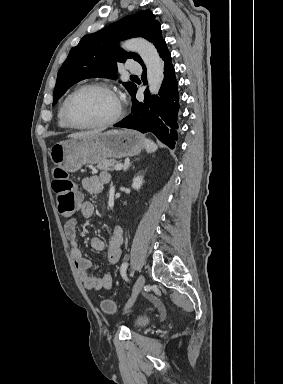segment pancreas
Instances as JSON below:
<instances>
[{"instance_id":"pancreas-1","label":"pancreas","mask_w":283,"mask_h":384,"mask_svg":"<svg viewBox=\"0 0 283 384\" xmlns=\"http://www.w3.org/2000/svg\"><path fill=\"white\" fill-rule=\"evenodd\" d=\"M120 162H116V160H104V162H100L97 164V170H102V172H111V170H115L114 166H117Z\"/></svg>"}]
</instances>
